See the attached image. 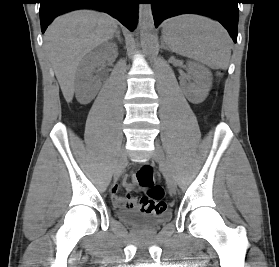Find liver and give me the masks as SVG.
I'll use <instances>...</instances> for the list:
<instances>
[{
	"label": "liver",
	"instance_id": "liver-1",
	"mask_svg": "<svg viewBox=\"0 0 279 267\" xmlns=\"http://www.w3.org/2000/svg\"><path fill=\"white\" fill-rule=\"evenodd\" d=\"M116 30L114 18L92 10L62 15L47 28L45 49L68 103L74 96L76 72L81 60L95 47L111 39Z\"/></svg>",
	"mask_w": 279,
	"mask_h": 267
}]
</instances>
